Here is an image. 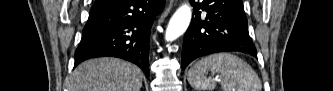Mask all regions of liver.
<instances>
[{"label": "liver", "mask_w": 333, "mask_h": 91, "mask_svg": "<svg viewBox=\"0 0 333 91\" xmlns=\"http://www.w3.org/2000/svg\"><path fill=\"white\" fill-rule=\"evenodd\" d=\"M143 73L117 58L91 59L73 72L69 91H140Z\"/></svg>", "instance_id": "obj_1"}]
</instances>
